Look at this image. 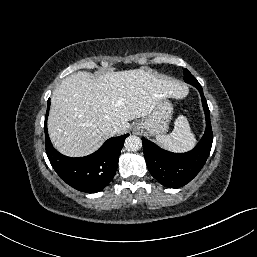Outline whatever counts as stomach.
<instances>
[{
	"mask_svg": "<svg viewBox=\"0 0 257 257\" xmlns=\"http://www.w3.org/2000/svg\"><path fill=\"white\" fill-rule=\"evenodd\" d=\"M173 107L166 98L160 99L155 108L146 117L135 124L138 130H146L151 136H161L168 130Z\"/></svg>",
	"mask_w": 257,
	"mask_h": 257,
	"instance_id": "stomach-1",
	"label": "stomach"
}]
</instances>
